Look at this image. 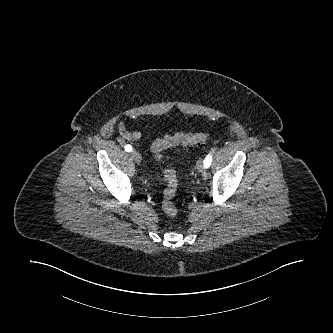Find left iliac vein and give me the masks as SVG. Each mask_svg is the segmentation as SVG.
<instances>
[{"label": "left iliac vein", "instance_id": "left-iliac-vein-1", "mask_svg": "<svg viewBox=\"0 0 333 333\" xmlns=\"http://www.w3.org/2000/svg\"><path fill=\"white\" fill-rule=\"evenodd\" d=\"M205 169L206 168L204 166L203 160L202 159L198 160V162H197V170H198V172L203 173L205 171Z\"/></svg>", "mask_w": 333, "mask_h": 333}]
</instances>
